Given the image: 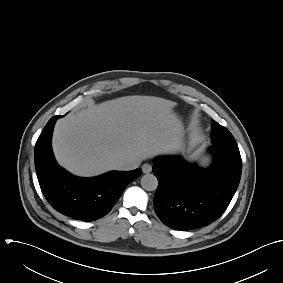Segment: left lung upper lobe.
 <instances>
[{
    "label": "left lung upper lobe",
    "instance_id": "obj_1",
    "mask_svg": "<svg viewBox=\"0 0 283 283\" xmlns=\"http://www.w3.org/2000/svg\"><path fill=\"white\" fill-rule=\"evenodd\" d=\"M212 140L216 145H222L239 152L232 134L224 126H221L214 120L212 121Z\"/></svg>",
    "mask_w": 283,
    "mask_h": 283
}]
</instances>
